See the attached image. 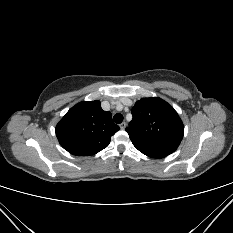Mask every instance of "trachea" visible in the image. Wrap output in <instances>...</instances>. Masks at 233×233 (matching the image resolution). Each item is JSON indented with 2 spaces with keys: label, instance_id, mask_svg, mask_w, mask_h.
Segmentation results:
<instances>
[{
  "label": "trachea",
  "instance_id": "1",
  "mask_svg": "<svg viewBox=\"0 0 233 233\" xmlns=\"http://www.w3.org/2000/svg\"><path fill=\"white\" fill-rule=\"evenodd\" d=\"M113 120L115 123L120 124L123 121V115L117 113L114 115Z\"/></svg>",
  "mask_w": 233,
  "mask_h": 233
}]
</instances>
